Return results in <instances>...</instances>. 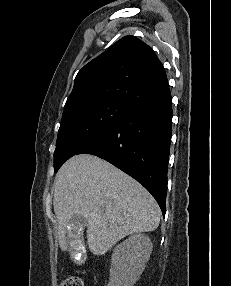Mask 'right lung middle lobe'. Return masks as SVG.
<instances>
[{"label": "right lung middle lobe", "instance_id": "1", "mask_svg": "<svg viewBox=\"0 0 231 286\" xmlns=\"http://www.w3.org/2000/svg\"><path fill=\"white\" fill-rule=\"evenodd\" d=\"M128 112L123 102L103 101L63 116L54 152V171Z\"/></svg>", "mask_w": 231, "mask_h": 286}]
</instances>
